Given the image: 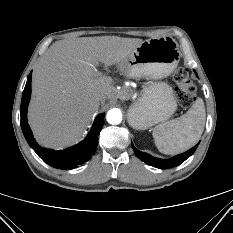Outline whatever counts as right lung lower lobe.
Segmentation results:
<instances>
[{
    "label": "right lung lower lobe",
    "instance_id": "obj_1",
    "mask_svg": "<svg viewBox=\"0 0 233 233\" xmlns=\"http://www.w3.org/2000/svg\"><path fill=\"white\" fill-rule=\"evenodd\" d=\"M31 76L30 73L27 78V83L23 91L22 101H21V128L23 134L36 154L48 165L58 168V169H72L77 165L83 164L88 161L92 155L95 153V150L98 145V136L103 127V121L105 114H99L94 124L85 138L81 143L68 148L63 151H54L49 149H44L40 147L33 138L32 131L28 125L27 121V106L29 104L31 96Z\"/></svg>",
    "mask_w": 233,
    "mask_h": 233
}]
</instances>
